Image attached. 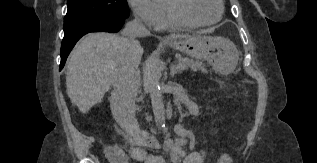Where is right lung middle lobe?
Here are the masks:
<instances>
[{"instance_id":"dd1d6c3e","label":"right lung middle lobe","mask_w":317,"mask_h":163,"mask_svg":"<svg viewBox=\"0 0 317 163\" xmlns=\"http://www.w3.org/2000/svg\"><path fill=\"white\" fill-rule=\"evenodd\" d=\"M64 32L103 17L127 18L126 0H67Z\"/></svg>"}]
</instances>
